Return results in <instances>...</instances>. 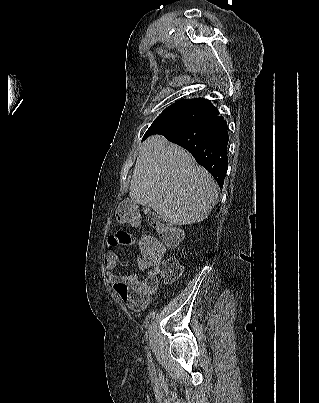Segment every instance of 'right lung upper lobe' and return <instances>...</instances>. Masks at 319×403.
<instances>
[{
    "label": "right lung upper lobe",
    "instance_id": "right-lung-upper-lobe-1",
    "mask_svg": "<svg viewBox=\"0 0 319 403\" xmlns=\"http://www.w3.org/2000/svg\"><path fill=\"white\" fill-rule=\"evenodd\" d=\"M178 102H190V103L199 104V105H202L204 107H207V108L211 109L213 114L219 113L218 110L211 104V102L209 100H207V99H204V98H199V99L195 98V99H192V100L191 99H184V100H180Z\"/></svg>",
    "mask_w": 319,
    "mask_h": 403
}]
</instances>
